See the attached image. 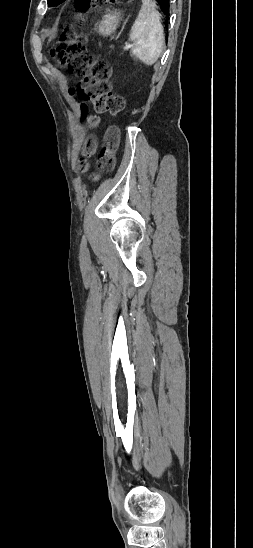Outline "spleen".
Returning a JSON list of instances; mask_svg holds the SVG:
<instances>
[{
    "instance_id": "obj_1",
    "label": "spleen",
    "mask_w": 253,
    "mask_h": 548,
    "mask_svg": "<svg viewBox=\"0 0 253 548\" xmlns=\"http://www.w3.org/2000/svg\"><path fill=\"white\" fill-rule=\"evenodd\" d=\"M132 54L145 65H153L161 55L165 38L160 13L152 0H142L140 12L132 26Z\"/></svg>"
}]
</instances>
